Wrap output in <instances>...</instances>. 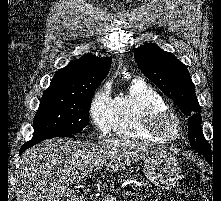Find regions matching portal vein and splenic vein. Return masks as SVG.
Instances as JSON below:
<instances>
[{
    "mask_svg": "<svg viewBox=\"0 0 221 201\" xmlns=\"http://www.w3.org/2000/svg\"><path fill=\"white\" fill-rule=\"evenodd\" d=\"M99 170H100V168H96L94 171L98 172ZM125 195L131 197V196H134L135 193L128 191V192H126ZM103 201H116V198L113 196H106V197H104Z\"/></svg>",
    "mask_w": 221,
    "mask_h": 201,
    "instance_id": "18ae733b",
    "label": "portal vein and splenic vein"
}]
</instances>
